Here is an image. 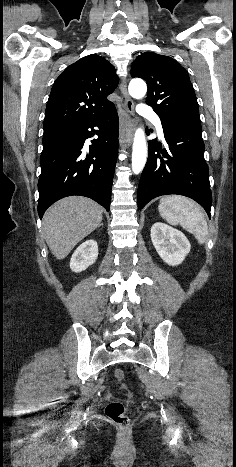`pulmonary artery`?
Instances as JSON below:
<instances>
[{
  "mask_svg": "<svg viewBox=\"0 0 236 467\" xmlns=\"http://www.w3.org/2000/svg\"><path fill=\"white\" fill-rule=\"evenodd\" d=\"M138 111L141 116L150 119L154 123L158 133L163 135V128L160 122V118L149 105L144 103L141 104Z\"/></svg>",
  "mask_w": 236,
  "mask_h": 467,
  "instance_id": "pulmonary-artery-1",
  "label": "pulmonary artery"
}]
</instances>
